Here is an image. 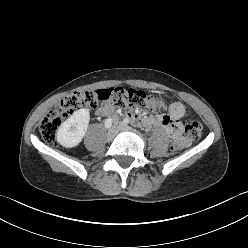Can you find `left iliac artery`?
Segmentation results:
<instances>
[{"mask_svg":"<svg viewBox=\"0 0 248 248\" xmlns=\"http://www.w3.org/2000/svg\"><path fill=\"white\" fill-rule=\"evenodd\" d=\"M123 122H124L125 124L131 123L129 119H125Z\"/></svg>","mask_w":248,"mask_h":248,"instance_id":"44dca946","label":"left iliac artery"}]
</instances>
